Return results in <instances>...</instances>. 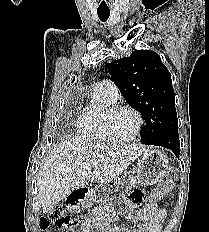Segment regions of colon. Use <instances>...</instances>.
Segmentation results:
<instances>
[{
    "label": "colon",
    "mask_w": 209,
    "mask_h": 232,
    "mask_svg": "<svg viewBox=\"0 0 209 232\" xmlns=\"http://www.w3.org/2000/svg\"><path fill=\"white\" fill-rule=\"evenodd\" d=\"M50 223L65 232H77L81 221H77V217L68 214L62 207H56L49 212L47 217H41L39 221L40 228L43 230Z\"/></svg>",
    "instance_id": "5ec220e1"
}]
</instances>
